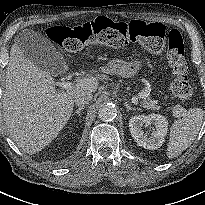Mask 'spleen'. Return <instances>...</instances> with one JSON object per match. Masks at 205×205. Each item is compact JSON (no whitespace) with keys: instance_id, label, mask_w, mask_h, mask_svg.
I'll list each match as a JSON object with an SVG mask.
<instances>
[{"instance_id":"1","label":"spleen","mask_w":205,"mask_h":205,"mask_svg":"<svg viewBox=\"0 0 205 205\" xmlns=\"http://www.w3.org/2000/svg\"><path fill=\"white\" fill-rule=\"evenodd\" d=\"M203 116L202 109L192 108L173 123L167 145L168 158L179 156L193 143L201 128Z\"/></svg>"}]
</instances>
